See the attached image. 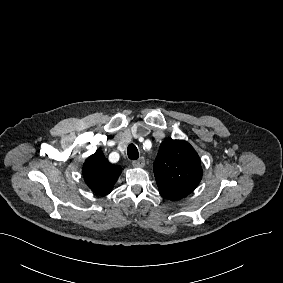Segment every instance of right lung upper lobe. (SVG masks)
Wrapping results in <instances>:
<instances>
[{
	"label": "right lung upper lobe",
	"mask_w": 283,
	"mask_h": 283,
	"mask_svg": "<svg viewBox=\"0 0 283 283\" xmlns=\"http://www.w3.org/2000/svg\"><path fill=\"white\" fill-rule=\"evenodd\" d=\"M83 177L88 187L97 195L109 194L118 177L121 174V167L111 164L101 149L88 157L82 168Z\"/></svg>",
	"instance_id": "1"
}]
</instances>
